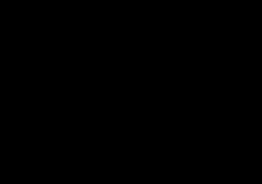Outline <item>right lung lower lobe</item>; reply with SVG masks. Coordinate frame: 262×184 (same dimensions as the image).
I'll use <instances>...</instances> for the list:
<instances>
[{"label": "right lung lower lobe", "instance_id": "right-lung-lower-lobe-1", "mask_svg": "<svg viewBox=\"0 0 262 184\" xmlns=\"http://www.w3.org/2000/svg\"><path fill=\"white\" fill-rule=\"evenodd\" d=\"M53 118L65 130V138L71 139L74 136L83 144L97 142L107 132V126L101 125L92 129L87 125H81L79 118L70 110L80 105L81 99L70 92L59 93L54 97Z\"/></svg>", "mask_w": 262, "mask_h": 184}]
</instances>
